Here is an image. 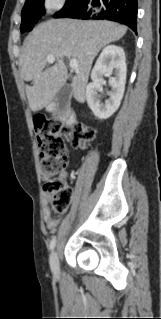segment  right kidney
<instances>
[{
  "instance_id": "right-kidney-1",
  "label": "right kidney",
  "mask_w": 161,
  "mask_h": 319,
  "mask_svg": "<svg viewBox=\"0 0 161 319\" xmlns=\"http://www.w3.org/2000/svg\"><path fill=\"white\" fill-rule=\"evenodd\" d=\"M125 53L121 47L108 45L103 49L91 72L92 83L86 87L87 104L93 114L99 119H107L117 111L125 91L126 63ZM114 74L109 78L111 91L104 102L98 94L101 91V84L104 82L103 75Z\"/></svg>"
}]
</instances>
